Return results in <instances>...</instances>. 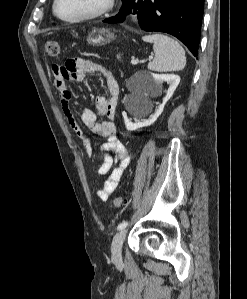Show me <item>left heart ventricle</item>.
Returning <instances> with one entry per match:
<instances>
[{
	"mask_svg": "<svg viewBox=\"0 0 247 299\" xmlns=\"http://www.w3.org/2000/svg\"><path fill=\"white\" fill-rule=\"evenodd\" d=\"M103 0H59L57 12L64 18L88 14L99 7Z\"/></svg>",
	"mask_w": 247,
	"mask_h": 299,
	"instance_id": "b2bd125f",
	"label": "left heart ventricle"
}]
</instances>
